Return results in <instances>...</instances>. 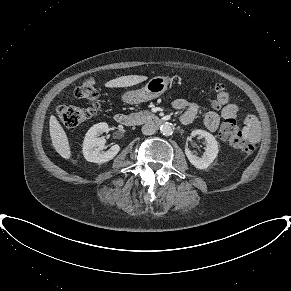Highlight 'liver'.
Returning a JSON list of instances; mask_svg holds the SVG:
<instances>
[{"label":"liver","instance_id":"6515ba94","mask_svg":"<svg viewBox=\"0 0 291 291\" xmlns=\"http://www.w3.org/2000/svg\"><path fill=\"white\" fill-rule=\"evenodd\" d=\"M147 78H148L147 76L143 75L121 76L106 82L105 86L109 88L129 87L139 84L147 80ZM49 131L52 140V145L57 151V153L64 159H70L71 150L67 135L63 127L60 125L59 121L54 115L50 116Z\"/></svg>","mask_w":291,"mask_h":291}]
</instances>
